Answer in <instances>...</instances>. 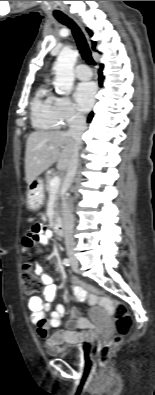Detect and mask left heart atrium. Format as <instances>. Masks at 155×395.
I'll use <instances>...</instances> for the list:
<instances>
[{"label":"left heart atrium","instance_id":"obj_1","mask_svg":"<svg viewBox=\"0 0 155 395\" xmlns=\"http://www.w3.org/2000/svg\"><path fill=\"white\" fill-rule=\"evenodd\" d=\"M96 85L94 82H82L77 85L75 90V100L79 110L82 112L88 111L95 100Z\"/></svg>","mask_w":155,"mask_h":395}]
</instances>
